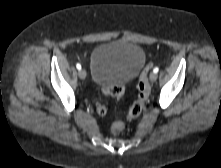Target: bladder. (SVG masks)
I'll list each match as a JSON object with an SVG mask.
<instances>
[{"label":"bladder","mask_w":221,"mask_h":168,"mask_svg":"<svg viewBox=\"0 0 221 168\" xmlns=\"http://www.w3.org/2000/svg\"><path fill=\"white\" fill-rule=\"evenodd\" d=\"M146 56L137 44L115 40L96 46L90 57L92 80L101 86L133 80L145 64Z\"/></svg>","instance_id":"31cf9c89"}]
</instances>
